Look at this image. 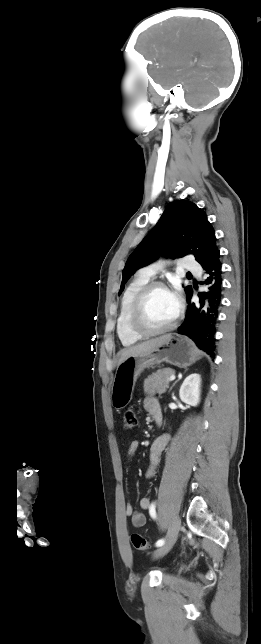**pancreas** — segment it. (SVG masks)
I'll return each instance as SVG.
<instances>
[{
  "label": "pancreas",
  "instance_id": "1",
  "mask_svg": "<svg viewBox=\"0 0 261 644\" xmlns=\"http://www.w3.org/2000/svg\"><path fill=\"white\" fill-rule=\"evenodd\" d=\"M175 374V370L171 368L160 369L152 373L144 381V393L146 395L163 394L169 387V378Z\"/></svg>",
  "mask_w": 261,
  "mask_h": 644
}]
</instances>
